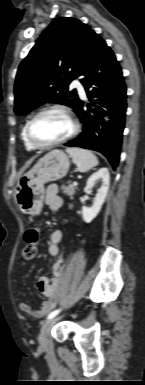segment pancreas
<instances>
[{
	"label": "pancreas",
	"mask_w": 145,
	"mask_h": 385,
	"mask_svg": "<svg viewBox=\"0 0 145 385\" xmlns=\"http://www.w3.org/2000/svg\"><path fill=\"white\" fill-rule=\"evenodd\" d=\"M61 190L63 191V193H65L66 195L72 197L74 194H75V190H76V186H74L73 184H69L67 186L63 185L61 187Z\"/></svg>",
	"instance_id": "pancreas-1"
}]
</instances>
